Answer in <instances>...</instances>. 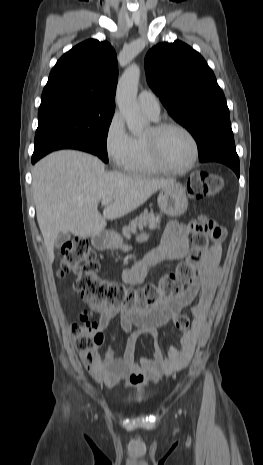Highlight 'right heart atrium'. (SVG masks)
I'll return each mask as SVG.
<instances>
[{
    "label": "right heart atrium",
    "mask_w": 263,
    "mask_h": 465,
    "mask_svg": "<svg viewBox=\"0 0 263 465\" xmlns=\"http://www.w3.org/2000/svg\"><path fill=\"white\" fill-rule=\"evenodd\" d=\"M132 136L120 113L115 112L105 129L104 150L108 159L119 169H126L132 155Z\"/></svg>",
    "instance_id": "1"
}]
</instances>
